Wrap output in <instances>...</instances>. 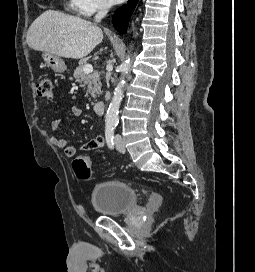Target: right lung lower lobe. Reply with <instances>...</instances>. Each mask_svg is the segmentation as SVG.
Here are the masks:
<instances>
[{
  "label": "right lung lower lobe",
  "instance_id": "1",
  "mask_svg": "<svg viewBox=\"0 0 255 272\" xmlns=\"http://www.w3.org/2000/svg\"><path fill=\"white\" fill-rule=\"evenodd\" d=\"M138 0H129L127 4L119 8L113 16V25L121 33H126L129 18L137 4Z\"/></svg>",
  "mask_w": 255,
  "mask_h": 272
}]
</instances>
